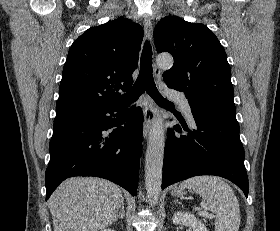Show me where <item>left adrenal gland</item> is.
I'll return each instance as SVG.
<instances>
[{"label": "left adrenal gland", "instance_id": "1", "mask_svg": "<svg viewBox=\"0 0 280 231\" xmlns=\"http://www.w3.org/2000/svg\"><path fill=\"white\" fill-rule=\"evenodd\" d=\"M174 203H181V201H178V199H174ZM183 205V203H181Z\"/></svg>", "mask_w": 280, "mask_h": 231}]
</instances>
